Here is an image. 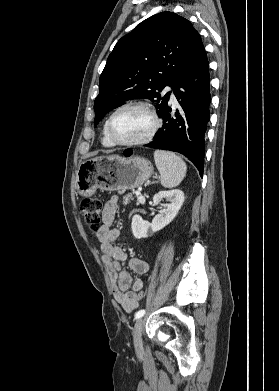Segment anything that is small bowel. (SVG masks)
Masks as SVG:
<instances>
[{"mask_svg": "<svg viewBox=\"0 0 279 391\" xmlns=\"http://www.w3.org/2000/svg\"><path fill=\"white\" fill-rule=\"evenodd\" d=\"M118 210V200L113 197L105 205L103 223L97 232V238L102 251L101 261L108 268L113 295L122 308L130 313L138 307L137 297L144 283L140 279L132 281L130 273L123 268V264L127 263L132 271L140 275L148 272L149 264L139 258L128 256L125 250L116 244L121 234L120 228L113 227Z\"/></svg>", "mask_w": 279, "mask_h": 391, "instance_id": "1", "label": "small bowel"}]
</instances>
